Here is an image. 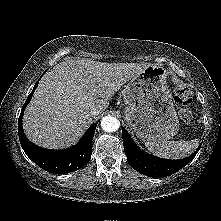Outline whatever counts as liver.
Masks as SVG:
<instances>
[{
	"mask_svg": "<svg viewBox=\"0 0 221 221\" xmlns=\"http://www.w3.org/2000/svg\"><path fill=\"white\" fill-rule=\"evenodd\" d=\"M146 64L71 59L57 64L40 81L26 107L23 129L34 144L58 149L74 144L92 122L90 111L109 99Z\"/></svg>",
	"mask_w": 221,
	"mask_h": 221,
	"instance_id": "6515ba94",
	"label": "liver"
}]
</instances>
